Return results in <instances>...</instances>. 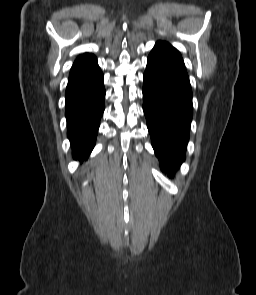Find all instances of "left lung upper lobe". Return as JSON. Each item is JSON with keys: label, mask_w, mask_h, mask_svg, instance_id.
Here are the masks:
<instances>
[{"label": "left lung upper lobe", "mask_w": 256, "mask_h": 295, "mask_svg": "<svg viewBox=\"0 0 256 295\" xmlns=\"http://www.w3.org/2000/svg\"><path fill=\"white\" fill-rule=\"evenodd\" d=\"M147 63L171 69L188 76L181 54L167 42L158 41L155 44L148 56Z\"/></svg>", "instance_id": "1"}]
</instances>
